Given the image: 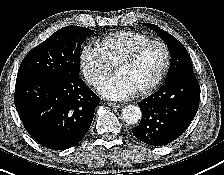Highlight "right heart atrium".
<instances>
[{"label":"right heart atrium","mask_w":224,"mask_h":175,"mask_svg":"<svg viewBox=\"0 0 224 175\" xmlns=\"http://www.w3.org/2000/svg\"><path fill=\"white\" fill-rule=\"evenodd\" d=\"M80 64L86 80L94 87H97L113 68L102 49L91 44L82 49Z\"/></svg>","instance_id":"d8ad5b80"}]
</instances>
